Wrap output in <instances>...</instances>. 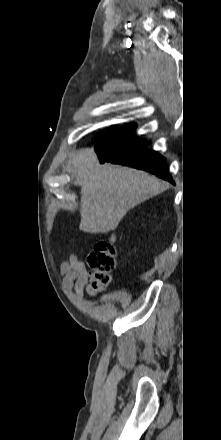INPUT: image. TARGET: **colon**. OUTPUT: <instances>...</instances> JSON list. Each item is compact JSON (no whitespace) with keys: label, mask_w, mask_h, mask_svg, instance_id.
I'll return each mask as SVG.
<instances>
[{"label":"colon","mask_w":221,"mask_h":440,"mask_svg":"<svg viewBox=\"0 0 221 440\" xmlns=\"http://www.w3.org/2000/svg\"><path fill=\"white\" fill-rule=\"evenodd\" d=\"M117 251L114 245V237L95 243L89 253L87 262L92 269L95 278L103 285L111 281V272L116 267Z\"/></svg>","instance_id":"1"}]
</instances>
